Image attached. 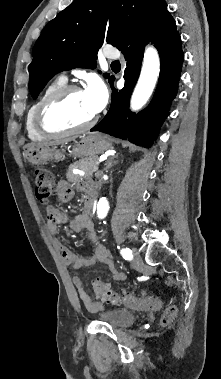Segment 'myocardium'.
<instances>
[{
    "instance_id": "myocardium-1",
    "label": "myocardium",
    "mask_w": 221,
    "mask_h": 379,
    "mask_svg": "<svg viewBox=\"0 0 221 379\" xmlns=\"http://www.w3.org/2000/svg\"><path fill=\"white\" fill-rule=\"evenodd\" d=\"M74 92H81V89L76 85H64L53 91L41 102L35 113V125L40 133L47 137L67 136L85 131L96 123V115L86 123L74 127H55L48 122L50 112Z\"/></svg>"
}]
</instances>
